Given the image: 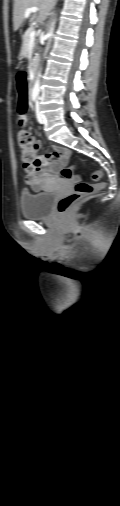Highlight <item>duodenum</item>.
Listing matches in <instances>:
<instances>
[{"mask_svg": "<svg viewBox=\"0 0 120 506\" xmlns=\"http://www.w3.org/2000/svg\"><path fill=\"white\" fill-rule=\"evenodd\" d=\"M16 54H17L18 57H20V58L22 57L23 58V57L26 56L27 53H26L25 50H23V49L21 50L20 49V50L17 51ZM37 72H38V61L36 60V61H34L33 68H32V80H35V78L37 76Z\"/></svg>", "mask_w": 120, "mask_h": 506, "instance_id": "obj_1", "label": "duodenum"}]
</instances>
